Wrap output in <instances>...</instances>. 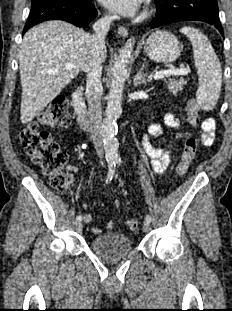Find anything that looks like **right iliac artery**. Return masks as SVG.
Here are the masks:
<instances>
[{
  "mask_svg": "<svg viewBox=\"0 0 232 311\" xmlns=\"http://www.w3.org/2000/svg\"><path fill=\"white\" fill-rule=\"evenodd\" d=\"M83 148H85V146H83ZM108 164H109V172H108V175H107L106 183H108V182H110L112 180L113 174H114V171H115V167H116L115 160H108ZM81 220H82V216L78 215L76 217V221L80 222Z\"/></svg>",
  "mask_w": 232,
  "mask_h": 311,
  "instance_id": "82829eb1",
  "label": "right iliac artery"
}]
</instances>
